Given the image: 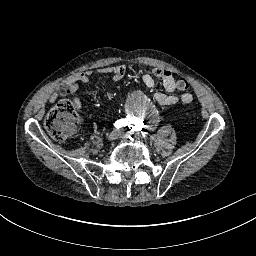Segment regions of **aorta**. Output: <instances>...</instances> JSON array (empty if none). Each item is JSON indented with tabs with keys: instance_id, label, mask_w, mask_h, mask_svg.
<instances>
[{
	"instance_id": "aorta-1",
	"label": "aorta",
	"mask_w": 256,
	"mask_h": 256,
	"mask_svg": "<svg viewBox=\"0 0 256 256\" xmlns=\"http://www.w3.org/2000/svg\"><path fill=\"white\" fill-rule=\"evenodd\" d=\"M129 112L135 116H142V126L147 131H154L159 126L160 111L150 106L148 97L142 93L131 95L127 101Z\"/></svg>"
}]
</instances>
